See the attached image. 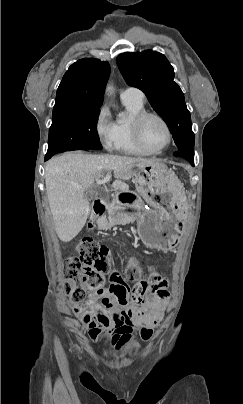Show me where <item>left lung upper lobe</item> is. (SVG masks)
I'll use <instances>...</instances> for the list:
<instances>
[{
	"label": "left lung upper lobe",
	"instance_id": "1",
	"mask_svg": "<svg viewBox=\"0 0 243 404\" xmlns=\"http://www.w3.org/2000/svg\"><path fill=\"white\" fill-rule=\"evenodd\" d=\"M117 65L128 85L137 87L147 96L153 109L168 125L175 150L194 152V133L184 94L173 81L174 70L167 58L151 50L123 53Z\"/></svg>",
	"mask_w": 243,
	"mask_h": 404
}]
</instances>
